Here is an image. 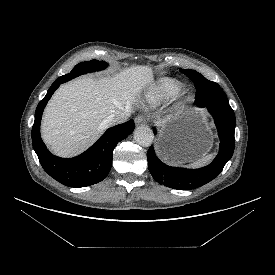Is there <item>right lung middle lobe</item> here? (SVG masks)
Wrapping results in <instances>:
<instances>
[{
    "label": "right lung middle lobe",
    "mask_w": 275,
    "mask_h": 275,
    "mask_svg": "<svg viewBox=\"0 0 275 275\" xmlns=\"http://www.w3.org/2000/svg\"><path fill=\"white\" fill-rule=\"evenodd\" d=\"M106 67L107 63L103 61L91 60L88 62H82L76 65L70 73L63 75L60 78L67 79L66 81H69L79 75L86 74L87 72H94L96 70H102Z\"/></svg>",
    "instance_id": "obj_1"
}]
</instances>
